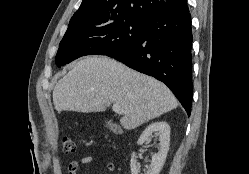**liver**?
I'll use <instances>...</instances> for the list:
<instances>
[{
  "label": "liver",
  "instance_id": "obj_1",
  "mask_svg": "<svg viewBox=\"0 0 249 174\" xmlns=\"http://www.w3.org/2000/svg\"><path fill=\"white\" fill-rule=\"evenodd\" d=\"M57 111L103 112L120 105V123L131 130L175 109L176 97L162 82L109 57L88 56L58 81L53 90Z\"/></svg>",
  "mask_w": 249,
  "mask_h": 174
}]
</instances>
